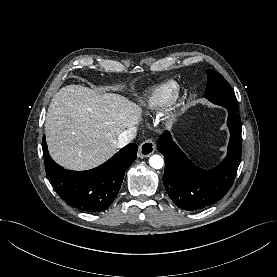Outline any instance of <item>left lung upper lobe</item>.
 <instances>
[{"label": "left lung upper lobe", "mask_w": 277, "mask_h": 277, "mask_svg": "<svg viewBox=\"0 0 277 277\" xmlns=\"http://www.w3.org/2000/svg\"><path fill=\"white\" fill-rule=\"evenodd\" d=\"M208 82L205 98L214 104L238 111V104L231 86L216 71L207 70Z\"/></svg>", "instance_id": "left-lung-upper-lobe-1"}]
</instances>
